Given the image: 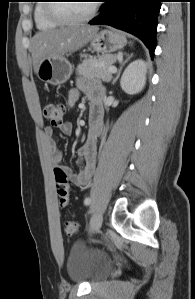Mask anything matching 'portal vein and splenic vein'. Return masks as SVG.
I'll return each instance as SVG.
<instances>
[{"instance_id":"1","label":"portal vein and splenic vein","mask_w":195,"mask_h":299,"mask_svg":"<svg viewBox=\"0 0 195 299\" xmlns=\"http://www.w3.org/2000/svg\"><path fill=\"white\" fill-rule=\"evenodd\" d=\"M109 72L115 73L116 72V67L112 66L108 69Z\"/></svg>"}]
</instances>
